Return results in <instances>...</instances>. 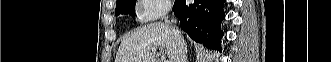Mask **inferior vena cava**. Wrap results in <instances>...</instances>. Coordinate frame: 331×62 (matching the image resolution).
Here are the masks:
<instances>
[{"label":"inferior vena cava","instance_id":"602c4592","mask_svg":"<svg viewBox=\"0 0 331 62\" xmlns=\"http://www.w3.org/2000/svg\"><path fill=\"white\" fill-rule=\"evenodd\" d=\"M171 22L176 23V20H171ZM176 40H175V52H176V60L175 62H186V54L187 48L184 39L177 33Z\"/></svg>","mask_w":331,"mask_h":62}]
</instances>
